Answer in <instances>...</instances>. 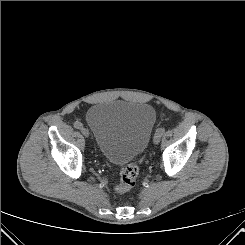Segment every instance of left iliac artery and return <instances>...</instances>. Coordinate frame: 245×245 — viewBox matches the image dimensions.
Segmentation results:
<instances>
[{"label":"left iliac artery","mask_w":245,"mask_h":245,"mask_svg":"<svg viewBox=\"0 0 245 245\" xmlns=\"http://www.w3.org/2000/svg\"><path fill=\"white\" fill-rule=\"evenodd\" d=\"M165 132V128L164 127H161L159 129L156 130V133H159V134H163Z\"/></svg>","instance_id":"left-iliac-artery-1"}]
</instances>
